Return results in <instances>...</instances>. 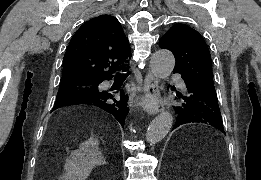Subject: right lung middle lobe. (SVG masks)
<instances>
[{"instance_id": "right-lung-middle-lobe-1", "label": "right lung middle lobe", "mask_w": 261, "mask_h": 180, "mask_svg": "<svg viewBox=\"0 0 261 180\" xmlns=\"http://www.w3.org/2000/svg\"><path fill=\"white\" fill-rule=\"evenodd\" d=\"M101 81L94 80H70L61 81L60 89L57 94L56 103L63 99L79 94L93 95L98 91V84Z\"/></svg>"}]
</instances>
